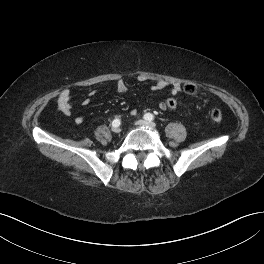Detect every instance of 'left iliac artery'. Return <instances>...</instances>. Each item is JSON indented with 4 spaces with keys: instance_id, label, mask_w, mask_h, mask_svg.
<instances>
[{
    "instance_id": "obj_1",
    "label": "left iliac artery",
    "mask_w": 264,
    "mask_h": 264,
    "mask_svg": "<svg viewBox=\"0 0 264 264\" xmlns=\"http://www.w3.org/2000/svg\"><path fill=\"white\" fill-rule=\"evenodd\" d=\"M144 119H145V120L152 121V120L154 119V115L151 114V113H146V114L144 115Z\"/></svg>"
}]
</instances>
